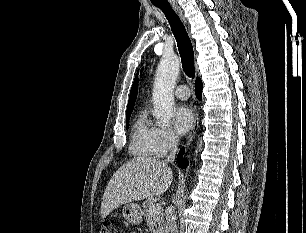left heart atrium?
<instances>
[{
  "label": "left heart atrium",
  "instance_id": "39dd6f15",
  "mask_svg": "<svg viewBox=\"0 0 306 233\" xmlns=\"http://www.w3.org/2000/svg\"><path fill=\"white\" fill-rule=\"evenodd\" d=\"M173 121L175 131L179 135H184L193 127L194 115L189 107L181 105L174 110Z\"/></svg>",
  "mask_w": 306,
  "mask_h": 233
}]
</instances>
